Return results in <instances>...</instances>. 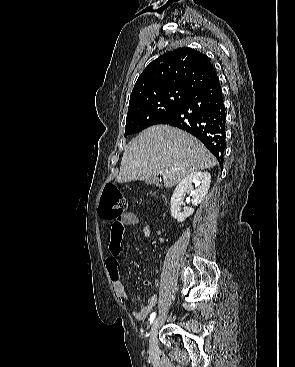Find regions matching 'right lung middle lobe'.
<instances>
[{"label": "right lung middle lobe", "instance_id": "dd1d6c3e", "mask_svg": "<svg viewBox=\"0 0 295 367\" xmlns=\"http://www.w3.org/2000/svg\"><path fill=\"white\" fill-rule=\"evenodd\" d=\"M190 94L167 91L133 102L128 108L125 136L142 131L175 111Z\"/></svg>", "mask_w": 295, "mask_h": 367}]
</instances>
